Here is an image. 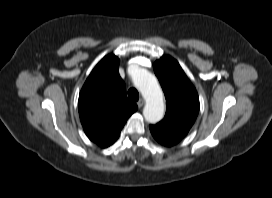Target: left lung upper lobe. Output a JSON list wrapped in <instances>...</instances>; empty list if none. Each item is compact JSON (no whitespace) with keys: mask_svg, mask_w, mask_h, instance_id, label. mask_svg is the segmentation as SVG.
Masks as SVG:
<instances>
[{"mask_svg":"<svg viewBox=\"0 0 272 198\" xmlns=\"http://www.w3.org/2000/svg\"><path fill=\"white\" fill-rule=\"evenodd\" d=\"M166 98V114L157 126L184 137L194 124L199 112L196 89L176 60L163 56L154 63Z\"/></svg>","mask_w":272,"mask_h":198,"instance_id":"1","label":"left lung upper lobe"}]
</instances>
